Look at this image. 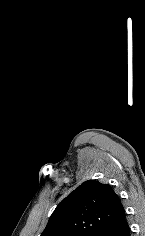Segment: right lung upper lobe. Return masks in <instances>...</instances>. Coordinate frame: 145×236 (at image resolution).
<instances>
[{
  "label": "right lung upper lobe",
  "mask_w": 145,
  "mask_h": 236,
  "mask_svg": "<svg viewBox=\"0 0 145 236\" xmlns=\"http://www.w3.org/2000/svg\"><path fill=\"white\" fill-rule=\"evenodd\" d=\"M124 215L110 185L85 181L59 203L41 236H97Z\"/></svg>",
  "instance_id": "1"
}]
</instances>
